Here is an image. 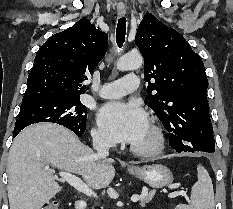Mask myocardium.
Wrapping results in <instances>:
<instances>
[{
  "label": "myocardium",
  "mask_w": 233,
  "mask_h": 209,
  "mask_svg": "<svg viewBox=\"0 0 233 209\" xmlns=\"http://www.w3.org/2000/svg\"><path fill=\"white\" fill-rule=\"evenodd\" d=\"M149 127L152 133V142L144 147L131 145L130 149L139 156L150 157L159 154L165 146V134L161 126L153 119L149 121Z\"/></svg>",
  "instance_id": "obj_1"
}]
</instances>
